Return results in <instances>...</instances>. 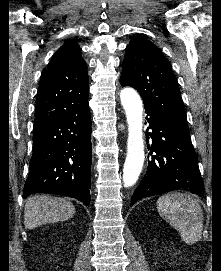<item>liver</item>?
Segmentation results:
<instances>
[{"mask_svg": "<svg viewBox=\"0 0 221 271\" xmlns=\"http://www.w3.org/2000/svg\"><path fill=\"white\" fill-rule=\"evenodd\" d=\"M75 215V205L64 197L52 195H32L28 197L24 209V225L27 229H34L43 223L64 221Z\"/></svg>", "mask_w": 221, "mask_h": 271, "instance_id": "obj_1", "label": "liver"}]
</instances>
